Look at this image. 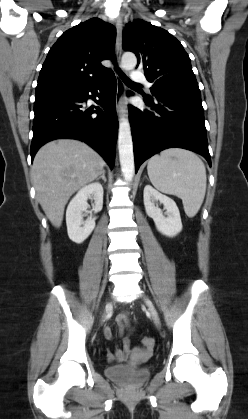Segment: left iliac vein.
I'll return each instance as SVG.
<instances>
[{"mask_svg": "<svg viewBox=\"0 0 248 419\" xmlns=\"http://www.w3.org/2000/svg\"><path fill=\"white\" fill-rule=\"evenodd\" d=\"M144 301H145V303L148 307V310H149V312L152 316V319H153L154 323L156 324L157 327H160V319H159L158 313H157L155 307L153 306L152 302L147 297H144Z\"/></svg>", "mask_w": 248, "mask_h": 419, "instance_id": "obj_1", "label": "left iliac vein"}]
</instances>
